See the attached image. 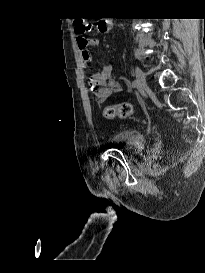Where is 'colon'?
Returning <instances> with one entry per match:
<instances>
[{
    "mask_svg": "<svg viewBox=\"0 0 205 273\" xmlns=\"http://www.w3.org/2000/svg\"><path fill=\"white\" fill-rule=\"evenodd\" d=\"M75 32L78 35H83L91 30V23L76 19L74 22ZM133 105L129 102H121L113 105H109L104 109L103 115L106 119L114 118H128L133 114Z\"/></svg>",
    "mask_w": 205,
    "mask_h": 273,
    "instance_id": "5ec220e1",
    "label": "colon"
}]
</instances>
